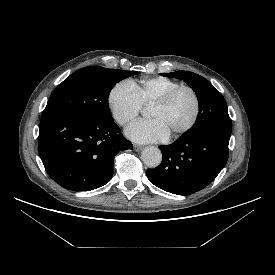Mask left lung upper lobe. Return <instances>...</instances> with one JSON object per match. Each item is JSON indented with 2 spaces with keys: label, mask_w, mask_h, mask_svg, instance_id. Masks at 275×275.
Instances as JSON below:
<instances>
[{
  "label": "left lung upper lobe",
  "mask_w": 275,
  "mask_h": 275,
  "mask_svg": "<svg viewBox=\"0 0 275 275\" xmlns=\"http://www.w3.org/2000/svg\"><path fill=\"white\" fill-rule=\"evenodd\" d=\"M161 75L182 79L197 95L199 103L197 122L183 136L205 133L231 135L232 123L228 115L226 101L207 79L186 71L161 73Z\"/></svg>",
  "instance_id": "5c2ea615"
}]
</instances>
